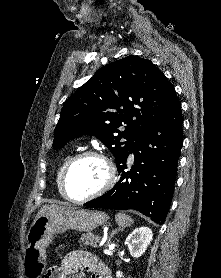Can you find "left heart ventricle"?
<instances>
[{"label":"left heart ventricle","mask_w":221,"mask_h":278,"mask_svg":"<svg viewBox=\"0 0 221 278\" xmlns=\"http://www.w3.org/2000/svg\"><path fill=\"white\" fill-rule=\"evenodd\" d=\"M106 178L104 164L97 158L85 157L75 162L67 177V190L74 199L96 191Z\"/></svg>","instance_id":"obj_1"}]
</instances>
